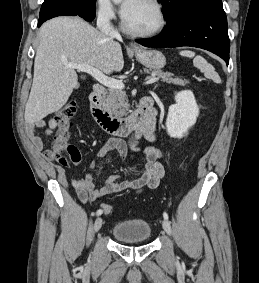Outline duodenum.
I'll return each instance as SVG.
<instances>
[{
	"label": "duodenum",
	"mask_w": 259,
	"mask_h": 283,
	"mask_svg": "<svg viewBox=\"0 0 259 283\" xmlns=\"http://www.w3.org/2000/svg\"><path fill=\"white\" fill-rule=\"evenodd\" d=\"M104 87L95 85L90 95V108L94 119L107 133L128 136L148 127L155 119V109L150 98H144L137 111L129 117L112 116L103 105Z\"/></svg>",
	"instance_id": "1"
}]
</instances>
